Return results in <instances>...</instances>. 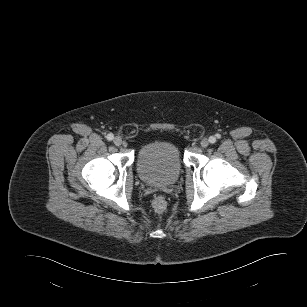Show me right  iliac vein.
<instances>
[{
    "label": "right iliac vein",
    "mask_w": 307,
    "mask_h": 307,
    "mask_svg": "<svg viewBox=\"0 0 307 307\" xmlns=\"http://www.w3.org/2000/svg\"><path fill=\"white\" fill-rule=\"evenodd\" d=\"M113 142L116 146H120L122 144V139L117 136L114 138Z\"/></svg>",
    "instance_id": "right-iliac-vein-1"
}]
</instances>
